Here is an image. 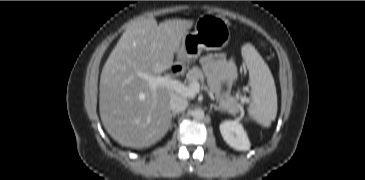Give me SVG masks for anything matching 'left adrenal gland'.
Listing matches in <instances>:
<instances>
[{
	"label": "left adrenal gland",
	"instance_id": "left-adrenal-gland-1",
	"mask_svg": "<svg viewBox=\"0 0 365 180\" xmlns=\"http://www.w3.org/2000/svg\"><path fill=\"white\" fill-rule=\"evenodd\" d=\"M214 110H215V111H223L220 107H218V106H216V105H214Z\"/></svg>",
	"mask_w": 365,
	"mask_h": 180
}]
</instances>
